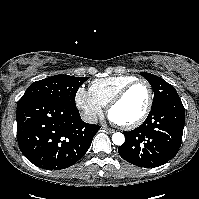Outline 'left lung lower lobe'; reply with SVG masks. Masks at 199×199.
Returning a JSON list of instances; mask_svg holds the SVG:
<instances>
[{"mask_svg": "<svg viewBox=\"0 0 199 199\" xmlns=\"http://www.w3.org/2000/svg\"><path fill=\"white\" fill-rule=\"evenodd\" d=\"M185 110L180 98L168 100L151 111L138 128L124 132L120 156L139 167L155 168L177 154L183 135Z\"/></svg>", "mask_w": 199, "mask_h": 199, "instance_id": "obj_1", "label": "left lung lower lobe"}]
</instances>
